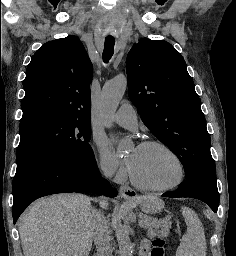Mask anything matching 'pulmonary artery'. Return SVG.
I'll list each match as a JSON object with an SVG mask.
<instances>
[{
  "label": "pulmonary artery",
  "instance_id": "pulmonary-artery-1",
  "mask_svg": "<svg viewBox=\"0 0 236 256\" xmlns=\"http://www.w3.org/2000/svg\"><path fill=\"white\" fill-rule=\"evenodd\" d=\"M113 120L118 125L128 129H135L137 127V113L131 106H122L114 114Z\"/></svg>",
  "mask_w": 236,
  "mask_h": 256
}]
</instances>
